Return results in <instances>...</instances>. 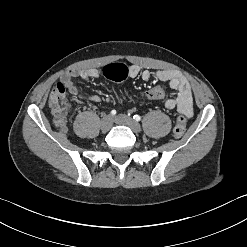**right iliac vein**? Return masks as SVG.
<instances>
[{"label": "right iliac vein", "instance_id": "obj_1", "mask_svg": "<svg viewBox=\"0 0 247 247\" xmlns=\"http://www.w3.org/2000/svg\"><path fill=\"white\" fill-rule=\"evenodd\" d=\"M112 124V117L110 115H104L100 123L101 130L104 132L109 131L112 127Z\"/></svg>", "mask_w": 247, "mask_h": 247}]
</instances>
